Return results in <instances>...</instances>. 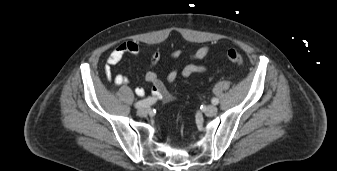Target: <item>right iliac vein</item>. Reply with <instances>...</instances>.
<instances>
[{
    "mask_svg": "<svg viewBox=\"0 0 337 171\" xmlns=\"http://www.w3.org/2000/svg\"><path fill=\"white\" fill-rule=\"evenodd\" d=\"M150 112V108L149 107H142L137 111V114L140 117H144L146 116L148 113Z\"/></svg>",
    "mask_w": 337,
    "mask_h": 171,
    "instance_id": "obj_1",
    "label": "right iliac vein"
}]
</instances>
